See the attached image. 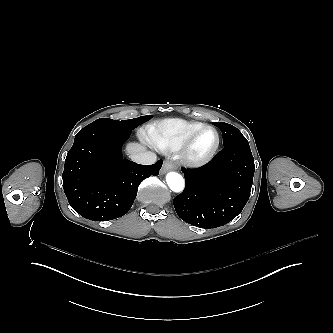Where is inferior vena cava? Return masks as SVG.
<instances>
[{
    "mask_svg": "<svg viewBox=\"0 0 333 333\" xmlns=\"http://www.w3.org/2000/svg\"><path fill=\"white\" fill-rule=\"evenodd\" d=\"M130 159L138 164L151 165L156 162L157 156L151 151H145L137 154H131Z\"/></svg>",
    "mask_w": 333,
    "mask_h": 333,
    "instance_id": "602c4592",
    "label": "inferior vena cava"
}]
</instances>
